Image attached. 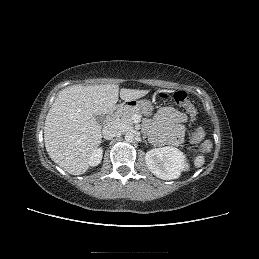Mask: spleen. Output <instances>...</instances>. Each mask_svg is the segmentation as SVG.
<instances>
[{
    "instance_id": "3e777b00",
    "label": "spleen",
    "mask_w": 259,
    "mask_h": 259,
    "mask_svg": "<svg viewBox=\"0 0 259 259\" xmlns=\"http://www.w3.org/2000/svg\"><path fill=\"white\" fill-rule=\"evenodd\" d=\"M205 162V159H204V156L203 155H198L196 156V158L194 159V164L195 166L198 168V167H201Z\"/></svg>"
}]
</instances>
